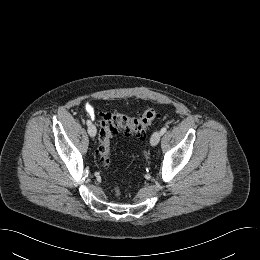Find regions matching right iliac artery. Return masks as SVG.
Segmentation results:
<instances>
[{"instance_id":"1","label":"right iliac artery","mask_w":260,"mask_h":260,"mask_svg":"<svg viewBox=\"0 0 260 260\" xmlns=\"http://www.w3.org/2000/svg\"><path fill=\"white\" fill-rule=\"evenodd\" d=\"M86 124L89 126L91 124V121L90 120H87L86 121Z\"/></svg>"}]
</instances>
